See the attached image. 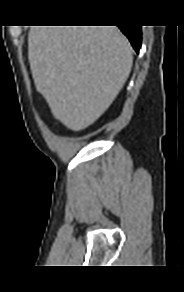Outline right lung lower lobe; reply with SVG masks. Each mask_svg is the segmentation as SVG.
<instances>
[{"label":"right lung lower lobe","mask_w":184,"mask_h":292,"mask_svg":"<svg viewBox=\"0 0 184 292\" xmlns=\"http://www.w3.org/2000/svg\"><path fill=\"white\" fill-rule=\"evenodd\" d=\"M121 31L128 37L133 48L137 53H139V49L141 47L142 42V31L140 26H119Z\"/></svg>","instance_id":"1"}]
</instances>
